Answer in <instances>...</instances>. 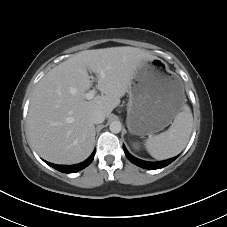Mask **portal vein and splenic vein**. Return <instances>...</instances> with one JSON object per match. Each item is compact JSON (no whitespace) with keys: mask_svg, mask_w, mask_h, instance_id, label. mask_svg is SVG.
Masks as SVG:
<instances>
[{"mask_svg":"<svg viewBox=\"0 0 227 227\" xmlns=\"http://www.w3.org/2000/svg\"><path fill=\"white\" fill-rule=\"evenodd\" d=\"M96 95V90H90L89 92L86 93L85 97L87 100H91L94 96Z\"/></svg>","mask_w":227,"mask_h":227,"instance_id":"portal-vein-and-splenic-vein-1","label":"portal vein and splenic vein"}]
</instances>
